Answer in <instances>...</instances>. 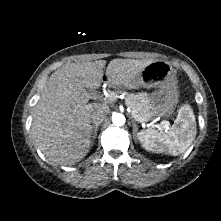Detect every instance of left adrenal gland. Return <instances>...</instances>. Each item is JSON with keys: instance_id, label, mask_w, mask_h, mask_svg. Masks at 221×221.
Segmentation results:
<instances>
[{"instance_id": "left-adrenal-gland-1", "label": "left adrenal gland", "mask_w": 221, "mask_h": 221, "mask_svg": "<svg viewBox=\"0 0 221 221\" xmlns=\"http://www.w3.org/2000/svg\"><path fill=\"white\" fill-rule=\"evenodd\" d=\"M132 126H133V134H135L138 130V127L134 119H132Z\"/></svg>"}]
</instances>
